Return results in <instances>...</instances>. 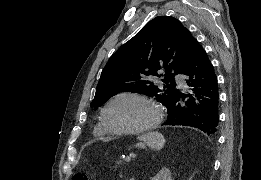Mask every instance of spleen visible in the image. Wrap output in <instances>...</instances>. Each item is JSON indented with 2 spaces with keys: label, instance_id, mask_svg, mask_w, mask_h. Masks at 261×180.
Returning a JSON list of instances; mask_svg holds the SVG:
<instances>
[{
  "label": "spleen",
  "instance_id": "1",
  "mask_svg": "<svg viewBox=\"0 0 261 180\" xmlns=\"http://www.w3.org/2000/svg\"><path fill=\"white\" fill-rule=\"evenodd\" d=\"M139 140H142V142H150V144H154V146H158V148H163L165 144L162 134H158V132L142 134V136H139Z\"/></svg>",
  "mask_w": 261,
  "mask_h": 180
}]
</instances>
